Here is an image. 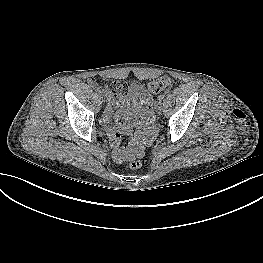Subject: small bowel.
<instances>
[{
	"mask_svg": "<svg viewBox=\"0 0 263 263\" xmlns=\"http://www.w3.org/2000/svg\"><path fill=\"white\" fill-rule=\"evenodd\" d=\"M116 76H118L119 78H123L124 77V73H117ZM133 92L136 96L140 97L142 100H145L149 97V94L147 93V90L145 89V87H143L142 85H135V87H133ZM137 144L138 142L135 143L134 147L131 149V151L125 152L123 151L122 154L120 155V157L122 159H127L132 157L134 154L137 153Z\"/></svg>",
	"mask_w": 263,
	"mask_h": 263,
	"instance_id": "c3829d8e",
	"label": "small bowel"
}]
</instances>
